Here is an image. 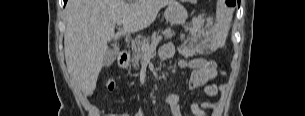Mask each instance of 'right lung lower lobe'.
<instances>
[{"instance_id": "right-lung-lower-lobe-1", "label": "right lung lower lobe", "mask_w": 305, "mask_h": 116, "mask_svg": "<svg viewBox=\"0 0 305 116\" xmlns=\"http://www.w3.org/2000/svg\"><path fill=\"white\" fill-rule=\"evenodd\" d=\"M67 0H64V4H66Z\"/></svg>"}]
</instances>
